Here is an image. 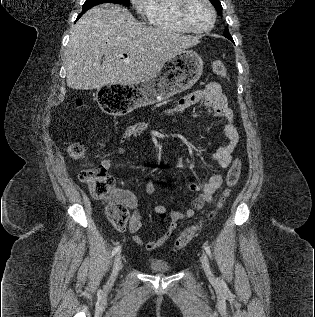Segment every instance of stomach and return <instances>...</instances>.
Returning <instances> with one entry per match:
<instances>
[{
	"label": "stomach",
	"instance_id": "stomach-1",
	"mask_svg": "<svg viewBox=\"0 0 315 317\" xmlns=\"http://www.w3.org/2000/svg\"><path fill=\"white\" fill-rule=\"evenodd\" d=\"M204 63L192 50H184L168 60L152 78L135 84H103L99 104L109 114H132V110L152 105L192 87L201 77Z\"/></svg>",
	"mask_w": 315,
	"mask_h": 317
}]
</instances>
